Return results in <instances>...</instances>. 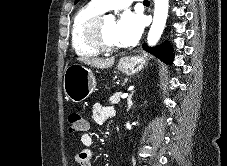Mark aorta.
<instances>
[{
    "instance_id": "1",
    "label": "aorta",
    "mask_w": 227,
    "mask_h": 166,
    "mask_svg": "<svg viewBox=\"0 0 227 166\" xmlns=\"http://www.w3.org/2000/svg\"><path fill=\"white\" fill-rule=\"evenodd\" d=\"M154 18L148 33L147 43L149 46H155L159 41L168 16L169 0H154ZM109 18H113L109 15Z\"/></svg>"
}]
</instances>
